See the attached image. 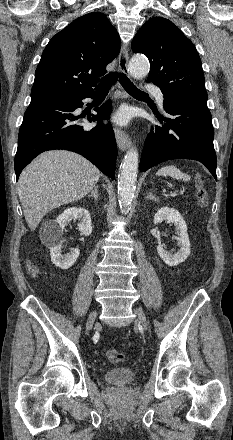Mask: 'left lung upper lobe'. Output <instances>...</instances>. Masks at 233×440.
Segmentation results:
<instances>
[{
	"label": "left lung upper lobe",
	"instance_id": "obj_1",
	"mask_svg": "<svg viewBox=\"0 0 233 440\" xmlns=\"http://www.w3.org/2000/svg\"><path fill=\"white\" fill-rule=\"evenodd\" d=\"M132 50L148 57L147 81L159 86L164 97L207 100L199 54L171 21L161 17L148 20L134 37Z\"/></svg>",
	"mask_w": 233,
	"mask_h": 440
}]
</instances>
